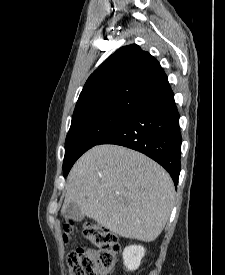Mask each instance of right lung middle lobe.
<instances>
[{
  "mask_svg": "<svg viewBox=\"0 0 225 275\" xmlns=\"http://www.w3.org/2000/svg\"><path fill=\"white\" fill-rule=\"evenodd\" d=\"M128 114L127 112H102L72 121L65 142L64 176L69 173L75 161L84 152L97 145Z\"/></svg>",
  "mask_w": 225,
  "mask_h": 275,
  "instance_id": "obj_1",
  "label": "right lung middle lobe"
}]
</instances>
